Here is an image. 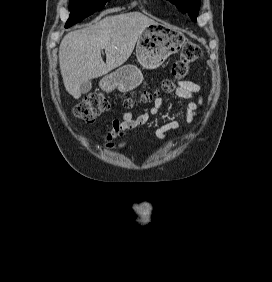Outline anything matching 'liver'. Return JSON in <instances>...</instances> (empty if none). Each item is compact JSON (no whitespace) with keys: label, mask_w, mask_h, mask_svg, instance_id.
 Segmentation results:
<instances>
[{"label":"liver","mask_w":272,"mask_h":282,"mask_svg":"<svg viewBox=\"0 0 272 282\" xmlns=\"http://www.w3.org/2000/svg\"><path fill=\"white\" fill-rule=\"evenodd\" d=\"M155 21L139 12L107 16L68 33L59 47V65L66 91L75 99L81 85L125 63L142 32ZM105 50L106 62L101 57Z\"/></svg>","instance_id":"1"}]
</instances>
